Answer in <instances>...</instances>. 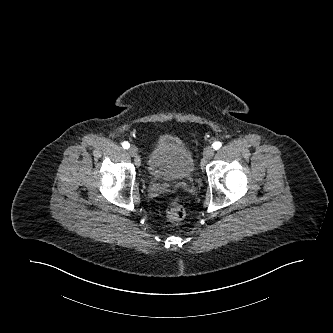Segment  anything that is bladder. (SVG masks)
Here are the masks:
<instances>
[{
    "label": "bladder",
    "instance_id": "obj_1",
    "mask_svg": "<svg viewBox=\"0 0 333 333\" xmlns=\"http://www.w3.org/2000/svg\"><path fill=\"white\" fill-rule=\"evenodd\" d=\"M193 170L192 152L178 136L163 133L156 137L147 158V172L152 179L184 181Z\"/></svg>",
    "mask_w": 333,
    "mask_h": 333
}]
</instances>
